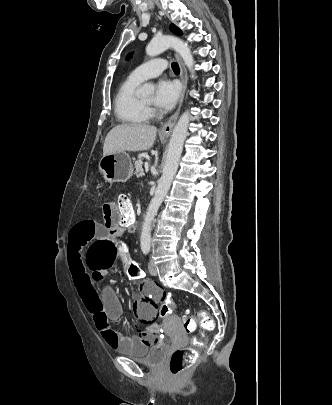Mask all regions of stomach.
<instances>
[{
    "mask_svg": "<svg viewBox=\"0 0 332 405\" xmlns=\"http://www.w3.org/2000/svg\"><path fill=\"white\" fill-rule=\"evenodd\" d=\"M99 170L106 181L119 182L131 178L134 168L129 154L117 152L103 156L99 162Z\"/></svg>",
    "mask_w": 332,
    "mask_h": 405,
    "instance_id": "1",
    "label": "stomach"
}]
</instances>
